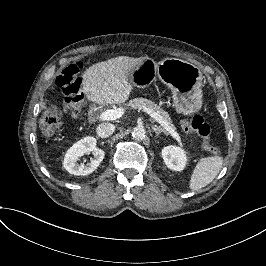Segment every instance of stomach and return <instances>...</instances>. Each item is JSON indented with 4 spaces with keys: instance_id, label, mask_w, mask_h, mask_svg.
I'll return each instance as SVG.
<instances>
[{
    "instance_id": "0dacf381",
    "label": "stomach",
    "mask_w": 266,
    "mask_h": 266,
    "mask_svg": "<svg viewBox=\"0 0 266 266\" xmlns=\"http://www.w3.org/2000/svg\"><path fill=\"white\" fill-rule=\"evenodd\" d=\"M156 63L148 56H140L128 69L132 84L138 88L147 87L154 81ZM157 74L171 90L173 106L178 114L193 116L204 104L200 69L179 59H165L159 63Z\"/></svg>"
}]
</instances>
